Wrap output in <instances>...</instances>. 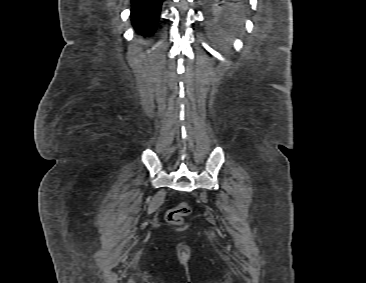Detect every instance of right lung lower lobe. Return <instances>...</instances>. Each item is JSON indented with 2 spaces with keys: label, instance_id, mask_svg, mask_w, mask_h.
I'll use <instances>...</instances> for the list:
<instances>
[{
  "label": "right lung lower lobe",
  "instance_id": "obj_1",
  "mask_svg": "<svg viewBox=\"0 0 366 283\" xmlns=\"http://www.w3.org/2000/svg\"><path fill=\"white\" fill-rule=\"evenodd\" d=\"M163 0H131V20L143 36L153 33Z\"/></svg>",
  "mask_w": 366,
  "mask_h": 283
}]
</instances>
